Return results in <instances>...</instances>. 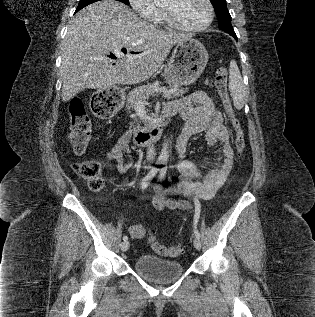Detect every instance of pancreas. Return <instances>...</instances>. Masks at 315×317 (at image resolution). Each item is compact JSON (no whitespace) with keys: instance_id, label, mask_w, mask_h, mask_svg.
Listing matches in <instances>:
<instances>
[{"instance_id":"pancreas-1","label":"pancreas","mask_w":315,"mask_h":317,"mask_svg":"<svg viewBox=\"0 0 315 317\" xmlns=\"http://www.w3.org/2000/svg\"><path fill=\"white\" fill-rule=\"evenodd\" d=\"M208 83V80H206ZM158 86L155 84H148L140 87H136L128 94L127 107L136 109L140 103H144L149 96H155L158 91ZM187 92V88H181L177 85H172L169 90L163 92V97L166 99H172L175 97H181Z\"/></svg>"}]
</instances>
